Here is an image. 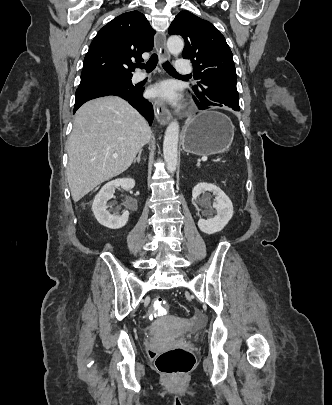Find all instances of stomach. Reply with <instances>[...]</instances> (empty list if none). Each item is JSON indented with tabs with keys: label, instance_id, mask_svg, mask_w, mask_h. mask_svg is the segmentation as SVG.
I'll use <instances>...</instances> for the list:
<instances>
[{
	"label": "stomach",
	"instance_id": "obj_1",
	"mask_svg": "<svg viewBox=\"0 0 332 405\" xmlns=\"http://www.w3.org/2000/svg\"><path fill=\"white\" fill-rule=\"evenodd\" d=\"M234 126L230 119L217 111H204L184 126L182 146L185 152L201 156L227 151L232 144Z\"/></svg>",
	"mask_w": 332,
	"mask_h": 405
}]
</instances>
